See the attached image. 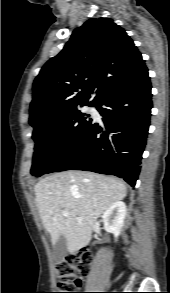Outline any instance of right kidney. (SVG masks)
<instances>
[{"label": "right kidney", "instance_id": "right-kidney-1", "mask_svg": "<svg viewBox=\"0 0 170 293\" xmlns=\"http://www.w3.org/2000/svg\"><path fill=\"white\" fill-rule=\"evenodd\" d=\"M126 217V205L122 201L112 204L103 214L102 221L106 232L112 233L117 240Z\"/></svg>", "mask_w": 170, "mask_h": 293}]
</instances>
